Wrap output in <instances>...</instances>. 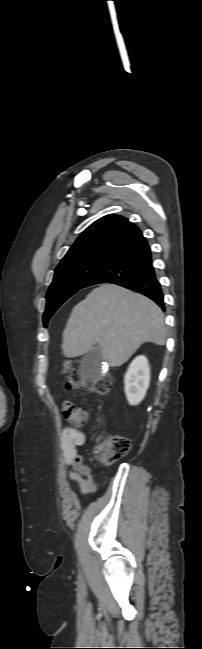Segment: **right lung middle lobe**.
Returning a JSON list of instances; mask_svg holds the SVG:
<instances>
[{"mask_svg": "<svg viewBox=\"0 0 202 649\" xmlns=\"http://www.w3.org/2000/svg\"><path fill=\"white\" fill-rule=\"evenodd\" d=\"M114 255L109 252H87L61 260L55 269L54 279L46 296L47 304L43 315L45 326L58 307L80 290Z\"/></svg>", "mask_w": 202, "mask_h": 649, "instance_id": "1", "label": "right lung middle lobe"}]
</instances>
